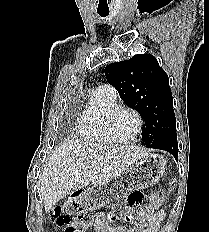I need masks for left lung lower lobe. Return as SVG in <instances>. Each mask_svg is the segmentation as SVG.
Returning <instances> with one entry per match:
<instances>
[{"mask_svg":"<svg viewBox=\"0 0 209 232\" xmlns=\"http://www.w3.org/2000/svg\"><path fill=\"white\" fill-rule=\"evenodd\" d=\"M158 149L171 153L177 160L178 159V142H177L176 135H171L163 139V141H161V143L159 144Z\"/></svg>","mask_w":209,"mask_h":232,"instance_id":"0a47b994","label":"left lung lower lobe"}]
</instances>
